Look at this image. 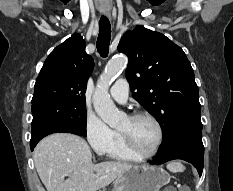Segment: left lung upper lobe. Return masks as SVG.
I'll return each instance as SVG.
<instances>
[{"label":"left lung upper lobe","mask_w":233,"mask_h":191,"mask_svg":"<svg viewBox=\"0 0 233 191\" xmlns=\"http://www.w3.org/2000/svg\"><path fill=\"white\" fill-rule=\"evenodd\" d=\"M118 51L129 58L126 77L132 96L162 127L160 148L185 130L202 129L198 87L179 46L163 34L137 25L123 35Z\"/></svg>","instance_id":"obj_1"}]
</instances>
